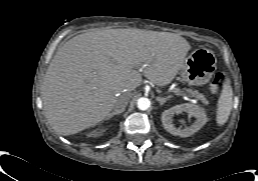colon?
<instances>
[{
  "instance_id": "5ec220e1",
  "label": "colon",
  "mask_w": 258,
  "mask_h": 181,
  "mask_svg": "<svg viewBox=\"0 0 258 181\" xmlns=\"http://www.w3.org/2000/svg\"><path fill=\"white\" fill-rule=\"evenodd\" d=\"M224 81L225 75L223 73H217L211 82L212 90L217 91L219 87L224 83Z\"/></svg>"
}]
</instances>
